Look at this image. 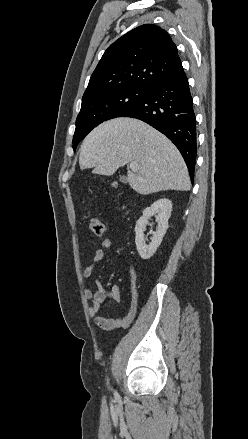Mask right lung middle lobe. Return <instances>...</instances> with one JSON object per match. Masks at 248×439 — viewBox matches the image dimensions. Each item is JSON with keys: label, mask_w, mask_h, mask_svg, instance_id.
<instances>
[{"label": "right lung middle lobe", "mask_w": 248, "mask_h": 439, "mask_svg": "<svg viewBox=\"0 0 248 439\" xmlns=\"http://www.w3.org/2000/svg\"><path fill=\"white\" fill-rule=\"evenodd\" d=\"M147 90L139 88L119 89L82 103L76 119L73 150L78 143L100 123L119 117L133 107Z\"/></svg>", "instance_id": "dd1d6c3e"}]
</instances>
